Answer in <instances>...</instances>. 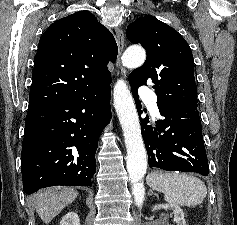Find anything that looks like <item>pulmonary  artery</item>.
I'll return each instance as SVG.
<instances>
[{
    "label": "pulmonary artery",
    "instance_id": "1",
    "mask_svg": "<svg viewBox=\"0 0 237 225\" xmlns=\"http://www.w3.org/2000/svg\"><path fill=\"white\" fill-rule=\"evenodd\" d=\"M140 95L143 99V101L148 105L151 112L155 115H159L158 107H157V98L156 95L151 92L149 89H147L145 86H142L140 88Z\"/></svg>",
    "mask_w": 237,
    "mask_h": 225
}]
</instances>
